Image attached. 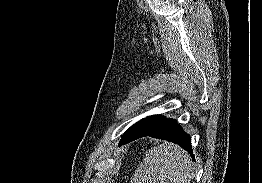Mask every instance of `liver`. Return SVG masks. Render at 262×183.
Instances as JSON below:
<instances>
[{
  "label": "liver",
  "mask_w": 262,
  "mask_h": 183,
  "mask_svg": "<svg viewBox=\"0 0 262 183\" xmlns=\"http://www.w3.org/2000/svg\"><path fill=\"white\" fill-rule=\"evenodd\" d=\"M194 176L187 152L176 144L165 142L145 152L131 183H190Z\"/></svg>",
  "instance_id": "obj_1"
}]
</instances>
